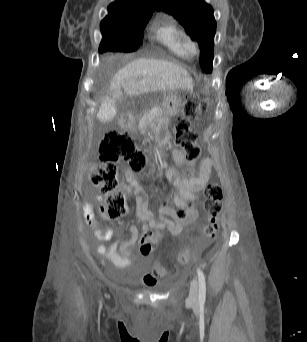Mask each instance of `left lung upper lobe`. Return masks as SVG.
I'll return each mask as SVG.
<instances>
[{
    "instance_id": "obj_1",
    "label": "left lung upper lobe",
    "mask_w": 307,
    "mask_h": 342,
    "mask_svg": "<svg viewBox=\"0 0 307 342\" xmlns=\"http://www.w3.org/2000/svg\"><path fill=\"white\" fill-rule=\"evenodd\" d=\"M157 10L173 15L199 43L201 68L210 72L216 33L212 7L203 0H159Z\"/></svg>"
}]
</instances>
